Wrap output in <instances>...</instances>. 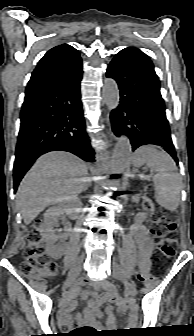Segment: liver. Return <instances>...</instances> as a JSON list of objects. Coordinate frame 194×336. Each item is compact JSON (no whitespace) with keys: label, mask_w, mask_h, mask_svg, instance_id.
<instances>
[{"label":"liver","mask_w":194,"mask_h":336,"mask_svg":"<svg viewBox=\"0 0 194 336\" xmlns=\"http://www.w3.org/2000/svg\"><path fill=\"white\" fill-rule=\"evenodd\" d=\"M87 175L86 163L71 153L53 151L38 158L17 192L24 223L30 224L50 205L77 197L85 190Z\"/></svg>","instance_id":"6515ba94"}]
</instances>
